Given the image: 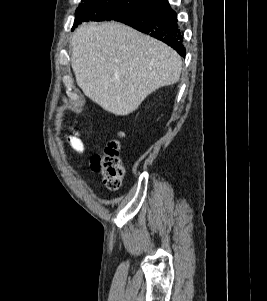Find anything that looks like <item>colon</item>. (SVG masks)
<instances>
[{"instance_id": "5ec220e1", "label": "colon", "mask_w": 267, "mask_h": 301, "mask_svg": "<svg viewBox=\"0 0 267 301\" xmlns=\"http://www.w3.org/2000/svg\"><path fill=\"white\" fill-rule=\"evenodd\" d=\"M110 140L100 154L91 158V167L94 171L102 174L104 183L108 189L115 191L119 189L124 177V166L120 158V139Z\"/></svg>"}]
</instances>
